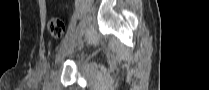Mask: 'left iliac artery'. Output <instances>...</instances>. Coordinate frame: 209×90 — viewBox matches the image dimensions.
Returning a JSON list of instances; mask_svg holds the SVG:
<instances>
[{"label":"left iliac artery","mask_w":209,"mask_h":90,"mask_svg":"<svg viewBox=\"0 0 209 90\" xmlns=\"http://www.w3.org/2000/svg\"><path fill=\"white\" fill-rule=\"evenodd\" d=\"M77 18L78 15H74V18H72L71 26L67 29L66 36L63 39L62 43L68 41L73 36V32L76 30Z\"/></svg>","instance_id":"obj_1"}]
</instances>
